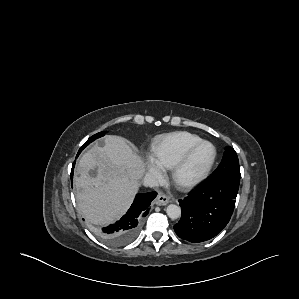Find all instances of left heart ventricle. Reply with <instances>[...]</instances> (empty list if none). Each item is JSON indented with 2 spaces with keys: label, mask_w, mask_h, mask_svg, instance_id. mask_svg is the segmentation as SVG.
I'll list each match as a JSON object with an SVG mask.
<instances>
[{
  "label": "left heart ventricle",
  "mask_w": 299,
  "mask_h": 299,
  "mask_svg": "<svg viewBox=\"0 0 299 299\" xmlns=\"http://www.w3.org/2000/svg\"><path fill=\"white\" fill-rule=\"evenodd\" d=\"M213 156V149L210 145H203L194 154L191 162L184 172L185 178H192L201 173L209 164Z\"/></svg>",
  "instance_id": "obj_1"
}]
</instances>
